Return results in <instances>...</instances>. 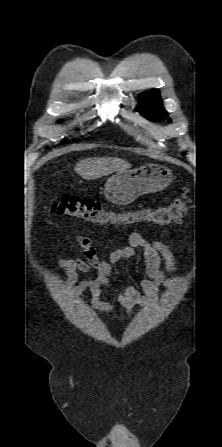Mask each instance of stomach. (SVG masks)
Returning <instances> with one entry per match:
<instances>
[{
    "label": "stomach",
    "instance_id": "obj_1",
    "mask_svg": "<svg viewBox=\"0 0 222 447\" xmlns=\"http://www.w3.org/2000/svg\"><path fill=\"white\" fill-rule=\"evenodd\" d=\"M172 179L171 169L160 164H147L112 175L105 183L104 195L113 204L127 205L143 194L165 189Z\"/></svg>",
    "mask_w": 222,
    "mask_h": 447
}]
</instances>
